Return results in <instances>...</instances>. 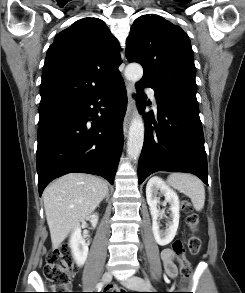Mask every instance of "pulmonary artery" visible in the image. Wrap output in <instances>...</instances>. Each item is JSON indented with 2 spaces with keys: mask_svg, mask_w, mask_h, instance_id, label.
I'll return each mask as SVG.
<instances>
[{
  "mask_svg": "<svg viewBox=\"0 0 245 293\" xmlns=\"http://www.w3.org/2000/svg\"><path fill=\"white\" fill-rule=\"evenodd\" d=\"M147 93L150 96V98L152 99L154 107L157 108V103H156V98H155V92H154V90L153 89H149V90H147Z\"/></svg>",
  "mask_w": 245,
  "mask_h": 293,
  "instance_id": "obj_1",
  "label": "pulmonary artery"
}]
</instances>
